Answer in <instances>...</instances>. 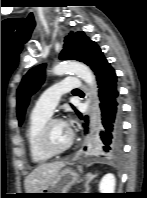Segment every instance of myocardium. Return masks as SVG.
Wrapping results in <instances>:
<instances>
[{"instance_id": "f54148a6", "label": "myocardium", "mask_w": 147, "mask_h": 198, "mask_svg": "<svg viewBox=\"0 0 147 198\" xmlns=\"http://www.w3.org/2000/svg\"><path fill=\"white\" fill-rule=\"evenodd\" d=\"M54 122H61V120L56 119V118H51L48 119L42 126V129L40 131V136H39V143L41 149L48 155L50 156H56L59 154L64 153L67 151L73 144L74 141V134L72 131H70V137L68 142L61 148H55L52 146L51 141H50V135H49V130L50 126Z\"/></svg>"}]
</instances>
